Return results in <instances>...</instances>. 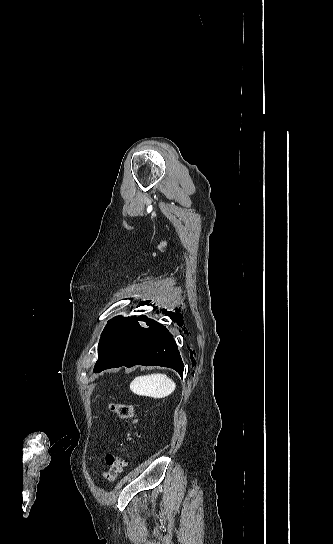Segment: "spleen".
Instances as JSON below:
<instances>
[{"instance_id":"spleen-1","label":"spleen","mask_w":333,"mask_h":544,"mask_svg":"<svg viewBox=\"0 0 333 544\" xmlns=\"http://www.w3.org/2000/svg\"><path fill=\"white\" fill-rule=\"evenodd\" d=\"M175 388V382L165 374L139 376L130 384V389L135 394L155 399L169 396L174 392Z\"/></svg>"}]
</instances>
